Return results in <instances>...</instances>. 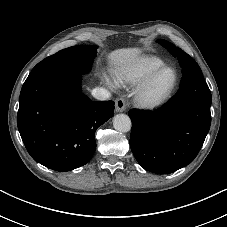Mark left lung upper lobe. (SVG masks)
Here are the masks:
<instances>
[{"instance_id":"5c2ea615","label":"left lung upper lobe","mask_w":227,"mask_h":227,"mask_svg":"<svg viewBox=\"0 0 227 227\" xmlns=\"http://www.w3.org/2000/svg\"><path fill=\"white\" fill-rule=\"evenodd\" d=\"M158 43L165 47L174 57H178L182 67L183 76L180 83V89L171 102L194 101L211 104L212 97L209 87L195 60L180 48H177L166 40L159 39Z\"/></svg>"}]
</instances>
